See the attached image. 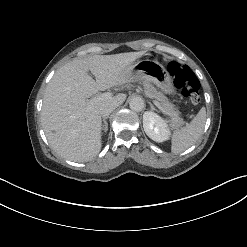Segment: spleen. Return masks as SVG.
Masks as SVG:
<instances>
[{
  "label": "spleen",
  "mask_w": 247,
  "mask_h": 247,
  "mask_svg": "<svg viewBox=\"0 0 247 247\" xmlns=\"http://www.w3.org/2000/svg\"><path fill=\"white\" fill-rule=\"evenodd\" d=\"M206 122V109L203 107L193 120L171 135V151L181 153L191 147L202 135Z\"/></svg>",
  "instance_id": "spleen-1"
}]
</instances>
